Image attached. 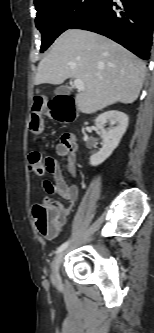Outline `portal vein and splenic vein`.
Segmentation results:
<instances>
[{
    "instance_id": "portal-vein-and-splenic-vein-1",
    "label": "portal vein and splenic vein",
    "mask_w": 154,
    "mask_h": 333,
    "mask_svg": "<svg viewBox=\"0 0 154 333\" xmlns=\"http://www.w3.org/2000/svg\"><path fill=\"white\" fill-rule=\"evenodd\" d=\"M74 86L77 88L79 91L84 90V83L81 79H75L74 80Z\"/></svg>"
}]
</instances>
